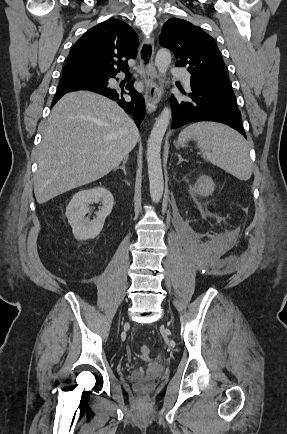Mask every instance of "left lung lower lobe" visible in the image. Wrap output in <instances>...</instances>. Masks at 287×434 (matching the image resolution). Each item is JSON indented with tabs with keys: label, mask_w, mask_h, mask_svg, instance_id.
Returning a JSON list of instances; mask_svg holds the SVG:
<instances>
[{
	"label": "left lung lower lobe",
	"mask_w": 287,
	"mask_h": 434,
	"mask_svg": "<svg viewBox=\"0 0 287 434\" xmlns=\"http://www.w3.org/2000/svg\"><path fill=\"white\" fill-rule=\"evenodd\" d=\"M190 101H180L172 96V129L197 121H216L246 134L241 122V113L237 107L235 94L191 79Z\"/></svg>",
	"instance_id": "1"
}]
</instances>
